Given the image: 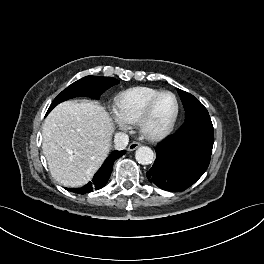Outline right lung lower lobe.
<instances>
[{"label": "right lung lower lobe", "instance_id": "1", "mask_svg": "<svg viewBox=\"0 0 264 264\" xmlns=\"http://www.w3.org/2000/svg\"><path fill=\"white\" fill-rule=\"evenodd\" d=\"M126 151H113L105 160L101 168L94 175L92 181L80 188H66L68 191L77 193V194H85L92 192L94 190L101 189L104 187L110 177L112 172V167L114 161L124 155Z\"/></svg>", "mask_w": 264, "mask_h": 264}]
</instances>
